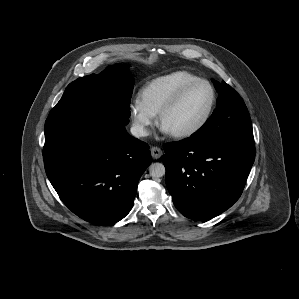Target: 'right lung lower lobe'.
Listing matches in <instances>:
<instances>
[{"label":"right lung lower lobe","mask_w":299,"mask_h":299,"mask_svg":"<svg viewBox=\"0 0 299 299\" xmlns=\"http://www.w3.org/2000/svg\"><path fill=\"white\" fill-rule=\"evenodd\" d=\"M128 123L111 105L46 120V174L63 203L90 223L123 219L151 163L149 146L127 133Z\"/></svg>","instance_id":"98d812e1"}]
</instances>
